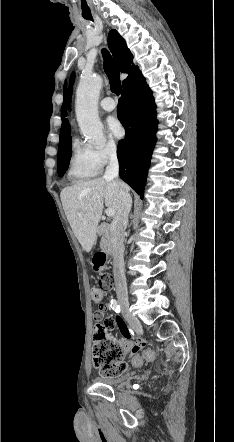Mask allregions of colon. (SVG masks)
<instances>
[{"label":"colon","mask_w":234,"mask_h":442,"mask_svg":"<svg viewBox=\"0 0 234 442\" xmlns=\"http://www.w3.org/2000/svg\"><path fill=\"white\" fill-rule=\"evenodd\" d=\"M95 269L99 275V286L92 289V300L102 306L105 294L114 289V278L106 270V257L99 254L94 260ZM110 331L98 333L94 330L93 335V364L105 377H117L127 370V363L124 355L130 359L135 367H140L144 362H151L155 359L157 350L154 347H144L141 350H126L118 340L108 335Z\"/></svg>","instance_id":"obj_1"}]
</instances>
